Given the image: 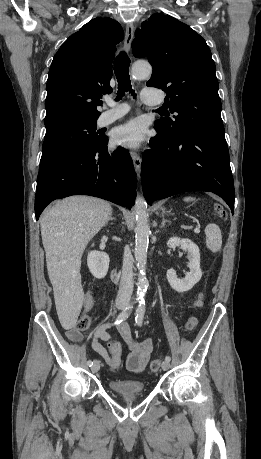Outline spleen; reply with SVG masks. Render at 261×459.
Masks as SVG:
<instances>
[{"instance_id":"spleen-1","label":"spleen","mask_w":261,"mask_h":459,"mask_svg":"<svg viewBox=\"0 0 261 459\" xmlns=\"http://www.w3.org/2000/svg\"><path fill=\"white\" fill-rule=\"evenodd\" d=\"M194 197H185V202L195 201ZM206 246L212 252H217L222 246L221 230L216 224H208L205 228Z\"/></svg>"}]
</instances>
